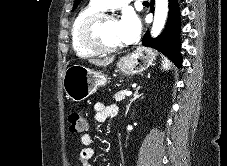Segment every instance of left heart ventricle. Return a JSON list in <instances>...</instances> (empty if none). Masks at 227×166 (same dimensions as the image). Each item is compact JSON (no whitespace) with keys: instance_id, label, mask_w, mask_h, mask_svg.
Masks as SVG:
<instances>
[{"instance_id":"obj_1","label":"left heart ventricle","mask_w":227,"mask_h":166,"mask_svg":"<svg viewBox=\"0 0 227 166\" xmlns=\"http://www.w3.org/2000/svg\"><path fill=\"white\" fill-rule=\"evenodd\" d=\"M97 37L106 47H114L123 44L119 30V21L109 19L101 23L97 29Z\"/></svg>"}]
</instances>
